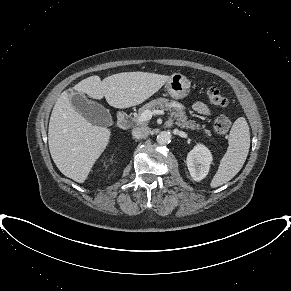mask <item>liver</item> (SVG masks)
Returning a JSON list of instances; mask_svg holds the SVG:
<instances>
[{"label": "liver", "mask_w": 291, "mask_h": 291, "mask_svg": "<svg viewBox=\"0 0 291 291\" xmlns=\"http://www.w3.org/2000/svg\"><path fill=\"white\" fill-rule=\"evenodd\" d=\"M169 78L147 72H123L103 80L94 75L73 89L94 99L104 97L112 107L123 109L143 103ZM110 136V129L91 124L73 107L68 91L59 96L50 117L48 143L54 163L66 177L83 183Z\"/></svg>", "instance_id": "liver-1"}]
</instances>
